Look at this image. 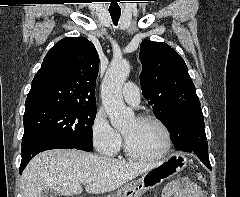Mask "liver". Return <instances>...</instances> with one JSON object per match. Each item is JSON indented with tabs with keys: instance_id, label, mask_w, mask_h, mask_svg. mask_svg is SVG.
Here are the masks:
<instances>
[{
	"instance_id": "1",
	"label": "liver",
	"mask_w": 240,
	"mask_h": 197,
	"mask_svg": "<svg viewBox=\"0 0 240 197\" xmlns=\"http://www.w3.org/2000/svg\"><path fill=\"white\" fill-rule=\"evenodd\" d=\"M161 162L143 163L102 157L81 150H49L35 156L21 176L22 197H41L45 188L64 196L85 190L103 194L119 189Z\"/></svg>"
}]
</instances>
